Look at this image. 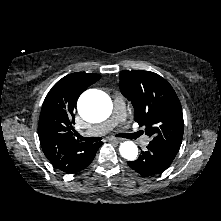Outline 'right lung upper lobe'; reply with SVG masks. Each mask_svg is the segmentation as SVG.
I'll return each mask as SVG.
<instances>
[{
  "instance_id": "obj_1",
  "label": "right lung upper lobe",
  "mask_w": 221,
  "mask_h": 221,
  "mask_svg": "<svg viewBox=\"0 0 221 221\" xmlns=\"http://www.w3.org/2000/svg\"><path fill=\"white\" fill-rule=\"evenodd\" d=\"M101 78L99 74L76 72L59 80L42 105L38 135L45 156L59 170L75 171L93 144L75 138L74 110L79 96Z\"/></svg>"
}]
</instances>
